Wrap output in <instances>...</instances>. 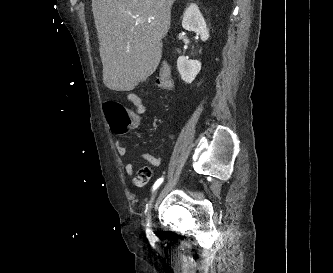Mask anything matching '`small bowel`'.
Returning <instances> with one entry per match:
<instances>
[{"label":"small bowel","instance_id":"obj_1","mask_svg":"<svg viewBox=\"0 0 333 273\" xmlns=\"http://www.w3.org/2000/svg\"><path fill=\"white\" fill-rule=\"evenodd\" d=\"M129 101L133 103L134 107L132 117L139 118L138 121L131 128H138L141 125L143 118L146 117V112L144 111L146 105L144 103V100H141V98L136 94H130ZM116 149L118 154L122 157H125L128 153L126 147L121 143L120 140H116ZM137 156L154 167H159L162 164V158L155 156L151 153L141 152ZM124 168L127 174L132 175L135 170V163L133 161H130L125 164Z\"/></svg>","mask_w":333,"mask_h":273}]
</instances>
